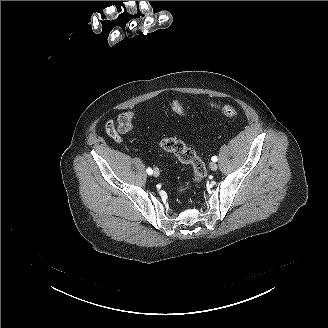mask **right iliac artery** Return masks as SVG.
<instances>
[{"mask_svg": "<svg viewBox=\"0 0 328 328\" xmlns=\"http://www.w3.org/2000/svg\"><path fill=\"white\" fill-rule=\"evenodd\" d=\"M146 171L149 175H151L153 173V170L151 168H148Z\"/></svg>", "mask_w": 328, "mask_h": 328, "instance_id": "82829eb1", "label": "right iliac artery"}]
</instances>
